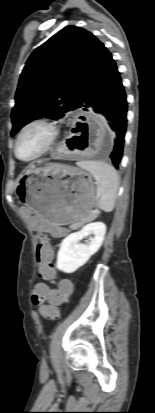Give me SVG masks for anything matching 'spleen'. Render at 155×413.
I'll return each instance as SVG.
<instances>
[{
	"mask_svg": "<svg viewBox=\"0 0 155 413\" xmlns=\"http://www.w3.org/2000/svg\"><path fill=\"white\" fill-rule=\"evenodd\" d=\"M77 166L88 171L97 183L98 207L104 212L114 209L119 177L114 167L108 163L92 160L77 162Z\"/></svg>",
	"mask_w": 155,
	"mask_h": 413,
	"instance_id": "spleen-1",
	"label": "spleen"
}]
</instances>
